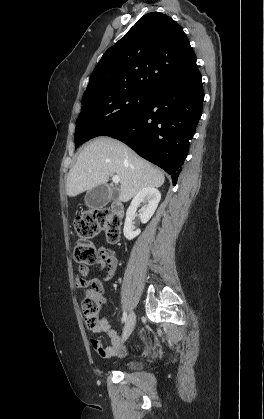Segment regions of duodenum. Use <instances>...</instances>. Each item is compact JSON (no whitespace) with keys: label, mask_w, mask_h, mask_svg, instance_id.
<instances>
[{"label":"duodenum","mask_w":264,"mask_h":419,"mask_svg":"<svg viewBox=\"0 0 264 419\" xmlns=\"http://www.w3.org/2000/svg\"><path fill=\"white\" fill-rule=\"evenodd\" d=\"M112 212L118 216V217H122L124 214V207L120 202H114L112 204Z\"/></svg>","instance_id":"obj_1"}]
</instances>
